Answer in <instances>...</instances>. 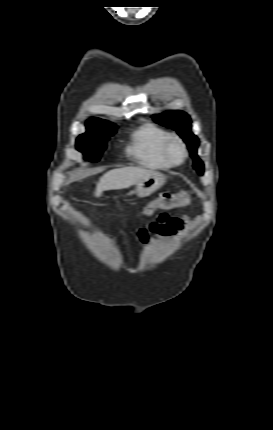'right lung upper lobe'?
<instances>
[{
    "instance_id": "1",
    "label": "right lung upper lobe",
    "mask_w": 273,
    "mask_h": 430,
    "mask_svg": "<svg viewBox=\"0 0 273 430\" xmlns=\"http://www.w3.org/2000/svg\"><path fill=\"white\" fill-rule=\"evenodd\" d=\"M86 125L101 126L104 128H108L109 126H115L114 124L99 118H92L88 120Z\"/></svg>"
}]
</instances>
